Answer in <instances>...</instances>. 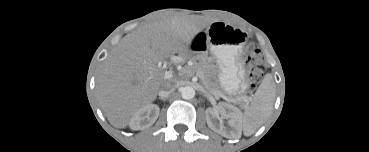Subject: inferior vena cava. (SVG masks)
<instances>
[{
  "mask_svg": "<svg viewBox=\"0 0 369 152\" xmlns=\"http://www.w3.org/2000/svg\"><path fill=\"white\" fill-rule=\"evenodd\" d=\"M177 87H178V84L176 82H173L170 79L165 80L159 91V96L161 98H165L170 93H172Z\"/></svg>",
  "mask_w": 369,
  "mask_h": 152,
  "instance_id": "602c4592",
  "label": "inferior vena cava"
}]
</instances>
